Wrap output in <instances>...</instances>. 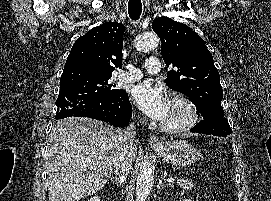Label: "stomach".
Returning a JSON list of instances; mask_svg holds the SVG:
<instances>
[{
  "mask_svg": "<svg viewBox=\"0 0 271 201\" xmlns=\"http://www.w3.org/2000/svg\"><path fill=\"white\" fill-rule=\"evenodd\" d=\"M152 149L168 164L185 167L196 162L200 156L197 149L184 140H173Z\"/></svg>",
  "mask_w": 271,
  "mask_h": 201,
  "instance_id": "obj_1",
  "label": "stomach"
}]
</instances>
